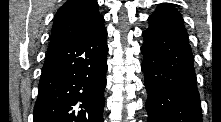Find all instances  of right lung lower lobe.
I'll return each mask as SVG.
<instances>
[{
  "mask_svg": "<svg viewBox=\"0 0 221 122\" xmlns=\"http://www.w3.org/2000/svg\"><path fill=\"white\" fill-rule=\"evenodd\" d=\"M106 37L101 24L47 52L33 122H103Z\"/></svg>",
  "mask_w": 221,
  "mask_h": 122,
  "instance_id": "1",
  "label": "right lung lower lobe"
}]
</instances>
